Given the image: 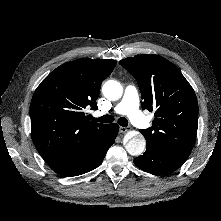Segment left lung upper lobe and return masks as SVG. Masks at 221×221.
Returning a JSON list of instances; mask_svg holds the SVG:
<instances>
[{
  "mask_svg": "<svg viewBox=\"0 0 221 221\" xmlns=\"http://www.w3.org/2000/svg\"><path fill=\"white\" fill-rule=\"evenodd\" d=\"M119 64L137 80L142 108L155 111L152 127L140 130L146 147L188 157L196 140L198 102L180 70L153 54L122 59Z\"/></svg>",
  "mask_w": 221,
  "mask_h": 221,
  "instance_id": "5c2ea615",
  "label": "left lung upper lobe"
}]
</instances>
